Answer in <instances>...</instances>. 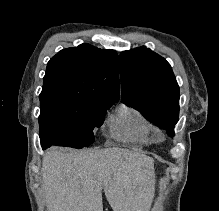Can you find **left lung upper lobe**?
<instances>
[{
	"mask_svg": "<svg viewBox=\"0 0 219 211\" xmlns=\"http://www.w3.org/2000/svg\"><path fill=\"white\" fill-rule=\"evenodd\" d=\"M123 102L174 136L179 87L170 64L146 47L120 54Z\"/></svg>",
	"mask_w": 219,
	"mask_h": 211,
	"instance_id": "5c2ea615",
	"label": "left lung upper lobe"
}]
</instances>
